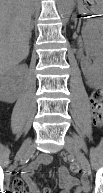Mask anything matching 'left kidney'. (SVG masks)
I'll list each match as a JSON object with an SVG mask.
<instances>
[{"instance_id":"obj_1","label":"left kidney","mask_w":103,"mask_h":193,"mask_svg":"<svg viewBox=\"0 0 103 193\" xmlns=\"http://www.w3.org/2000/svg\"><path fill=\"white\" fill-rule=\"evenodd\" d=\"M86 53L93 59V63L86 60L81 63V69L86 79H102L103 77V48L102 45L84 41Z\"/></svg>"}]
</instances>
